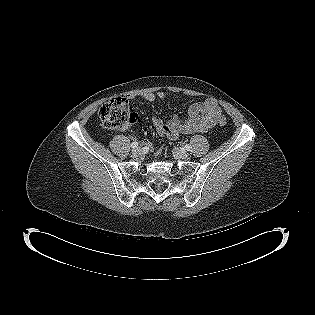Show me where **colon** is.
Here are the masks:
<instances>
[{
  "instance_id": "1",
  "label": "colon",
  "mask_w": 315,
  "mask_h": 315,
  "mask_svg": "<svg viewBox=\"0 0 315 315\" xmlns=\"http://www.w3.org/2000/svg\"><path fill=\"white\" fill-rule=\"evenodd\" d=\"M99 118L104 127L108 129H123L136 120V115L129 110L125 97H115L103 104L99 110ZM221 126H225L224 117L218 119Z\"/></svg>"
}]
</instances>
